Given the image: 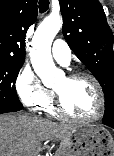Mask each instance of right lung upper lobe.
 <instances>
[{
	"instance_id": "cb5924a9",
	"label": "right lung upper lobe",
	"mask_w": 114,
	"mask_h": 156,
	"mask_svg": "<svg viewBox=\"0 0 114 156\" xmlns=\"http://www.w3.org/2000/svg\"><path fill=\"white\" fill-rule=\"evenodd\" d=\"M37 18V0H0V59L25 60V35Z\"/></svg>"
}]
</instances>
